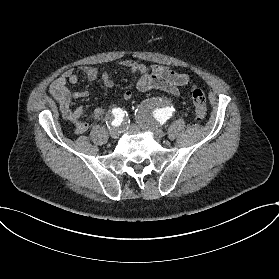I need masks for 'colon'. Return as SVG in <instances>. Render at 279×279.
I'll return each mask as SVG.
<instances>
[{
  "label": "colon",
  "instance_id": "5ec220e1",
  "mask_svg": "<svg viewBox=\"0 0 279 279\" xmlns=\"http://www.w3.org/2000/svg\"><path fill=\"white\" fill-rule=\"evenodd\" d=\"M191 99L194 106L196 117L202 120L206 117V98L203 90L194 86L192 88Z\"/></svg>",
  "mask_w": 279,
  "mask_h": 279
}]
</instances>
